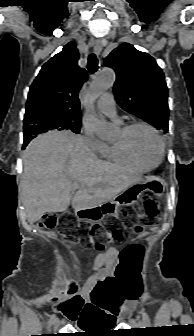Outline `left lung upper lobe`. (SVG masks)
Returning a JSON list of instances; mask_svg holds the SVG:
<instances>
[{
  "instance_id": "5c2ea615",
  "label": "left lung upper lobe",
  "mask_w": 194,
  "mask_h": 336,
  "mask_svg": "<svg viewBox=\"0 0 194 336\" xmlns=\"http://www.w3.org/2000/svg\"><path fill=\"white\" fill-rule=\"evenodd\" d=\"M105 65L116 72L114 94L120 107L168 132L167 86L155 59L123 43L108 55Z\"/></svg>"
}]
</instances>
